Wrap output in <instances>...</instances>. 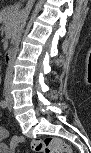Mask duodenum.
<instances>
[{"label": "duodenum", "mask_w": 91, "mask_h": 153, "mask_svg": "<svg viewBox=\"0 0 91 153\" xmlns=\"http://www.w3.org/2000/svg\"><path fill=\"white\" fill-rule=\"evenodd\" d=\"M16 54V51L14 48H9L7 50H5L4 54H3V61L6 65H9L12 63L13 58Z\"/></svg>", "instance_id": "410a0bca"}]
</instances>
